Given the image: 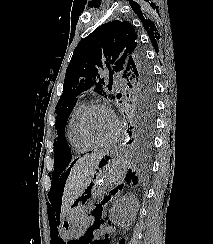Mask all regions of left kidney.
<instances>
[{"label":"left kidney","instance_id":"5707ae66","mask_svg":"<svg viewBox=\"0 0 213 244\" xmlns=\"http://www.w3.org/2000/svg\"><path fill=\"white\" fill-rule=\"evenodd\" d=\"M135 200L133 197H122L111 209L112 220L120 225L129 223L135 216Z\"/></svg>","mask_w":213,"mask_h":244}]
</instances>
